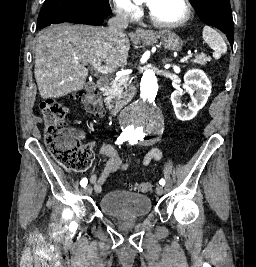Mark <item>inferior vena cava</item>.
<instances>
[{"mask_svg":"<svg viewBox=\"0 0 256 267\" xmlns=\"http://www.w3.org/2000/svg\"><path fill=\"white\" fill-rule=\"evenodd\" d=\"M129 24V12L122 8H118L116 10L115 18H111L108 22V28H106L109 34H114V36H120V38H126V34H124V30H126Z\"/></svg>","mask_w":256,"mask_h":267,"instance_id":"inferior-vena-cava-1","label":"inferior vena cava"}]
</instances>
